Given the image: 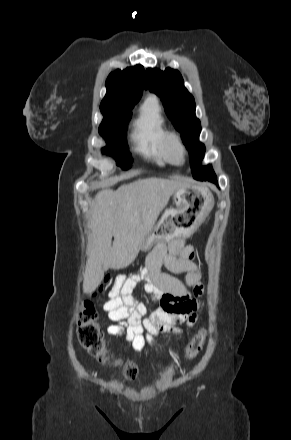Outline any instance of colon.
<instances>
[{"label": "colon", "mask_w": 291, "mask_h": 440, "mask_svg": "<svg viewBox=\"0 0 291 440\" xmlns=\"http://www.w3.org/2000/svg\"><path fill=\"white\" fill-rule=\"evenodd\" d=\"M104 282H110V276L106 275ZM100 292L102 289L99 290ZM78 338L81 344L96 356L101 362H114L121 368L127 378L134 379L138 370L136 366L122 358L115 356L113 347L108 346L102 336V331L97 323V313L94 304L90 300L83 303L82 309L77 318ZM207 331L201 329L192 339L186 348V356L192 358L196 356L205 343Z\"/></svg>", "instance_id": "1"}]
</instances>
